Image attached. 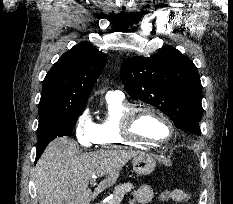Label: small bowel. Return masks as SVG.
<instances>
[{
    "mask_svg": "<svg viewBox=\"0 0 233 204\" xmlns=\"http://www.w3.org/2000/svg\"><path fill=\"white\" fill-rule=\"evenodd\" d=\"M177 200L175 203L183 204L187 201L188 195L181 189H175ZM154 197V191L151 187L144 185L134 191L130 198V204H145L150 202Z\"/></svg>",
    "mask_w": 233,
    "mask_h": 204,
    "instance_id": "c3829d8e",
    "label": "small bowel"
}]
</instances>
